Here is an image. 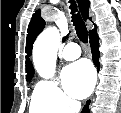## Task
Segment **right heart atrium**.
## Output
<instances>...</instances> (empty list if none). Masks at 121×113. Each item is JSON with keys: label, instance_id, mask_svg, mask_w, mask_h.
I'll return each instance as SVG.
<instances>
[{"label": "right heart atrium", "instance_id": "obj_1", "mask_svg": "<svg viewBox=\"0 0 121 113\" xmlns=\"http://www.w3.org/2000/svg\"><path fill=\"white\" fill-rule=\"evenodd\" d=\"M37 93L50 113H68L76 109L75 102L69 99L53 80H41L37 85Z\"/></svg>", "mask_w": 121, "mask_h": 113}]
</instances>
